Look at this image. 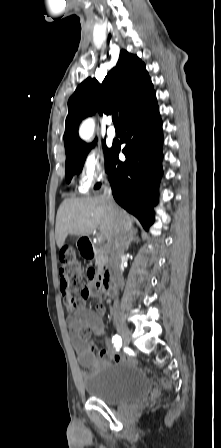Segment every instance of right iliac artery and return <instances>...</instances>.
<instances>
[{
    "mask_svg": "<svg viewBox=\"0 0 221 448\" xmlns=\"http://www.w3.org/2000/svg\"><path fill=\"white\" fill-rule=\"evenodd\" d=\"M112 342H113V344H114L116 350L119 351V349H120L121 346H122V339H121V337L118 336V335H115V336L112 338Z\"/></svg>",
    "mask_w": 221,
    "mask_h": 448,
    "instance_id": "82829eb1",
    "label": "right iliac artery"
}]
</instances>
